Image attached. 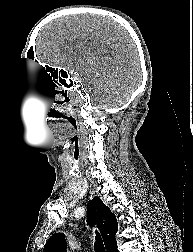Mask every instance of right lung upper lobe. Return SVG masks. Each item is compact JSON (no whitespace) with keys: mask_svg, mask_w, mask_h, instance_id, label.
I'll return each instance as SVG.
<instances>
[{"mask_svg":"<svg viewBox=\"0 0 193 252\" xmlns=\"http://www.w3.org/2000/svg\"><path fill=\"white\" fill-rule=\"evenodd\" d=\"M88 224H97L103 237L107 252H112L116 248L117 220L110 209L101 201L94 197L87 206ZM67 243L65 236L61 233L52 235L44 246L43 252H66Z\"/></svg>","mask_w":193,"mask_h":252,"instance_id":"right-lung-upper-lobe-1","label":"right lung upper lobe"}]
</instances>
